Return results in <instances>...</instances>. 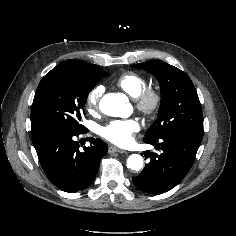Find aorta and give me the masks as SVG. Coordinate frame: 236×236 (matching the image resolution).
<instances>
[{
    "label": "aorta",
    "instance_id": "762f6f07",
    "mask_svg": "<svg viewBox=\"0 0 236 236\" xmlns=\"http://www.w3.org/2000/svg\"><path fill=\"white\" fill-rule=\"evenodd\" d=\"M100 110L112 117H122L128 107V99L123 94H106L100 101ZM127 167L139 171L143 167V158L139 154H132L127 159Z\"/></svg>",
    "mask_w": 236,
    "mask_h": 236
}]
</instances>
